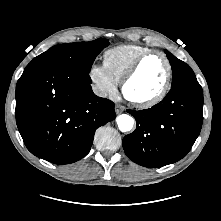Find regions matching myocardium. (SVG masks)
<instances>
[{
	"label": "myocardium",
	"instance_id": "myocardium-1",
	"mask_svg": "<svg viewBox=\"0 0 221 221\" xmlns=\"http://www.w3.org/2000/svg\"><path fill=\"white\" fill-rule=\"evenodd\" d=\"M152 55H159L163 58L166 67H167V72H166V78L164 81V84L162 86V88L160 89V91L155 94L154 96L147 98V99H143V100H139V99H134L132 97H130L127 93V86L129 84V82L134 78V76L137 74V72L139 71L142 63L150 56ZM172 76H173V66L172 63L169 59V57L162 51L160 50H148L144 53H142L135 61L134 63L131 65V67L128 69V71L126 72V74L124 75L123 79H122V93L125 97V99L127 101H129L131 104H133L134 106L138 107V108H149L152 107L158 103H160L168 94L170 87H171V83H172Z\"/></svg>",
	"mask_w": 221,
	"mask_h": 221
}]
</instances>
